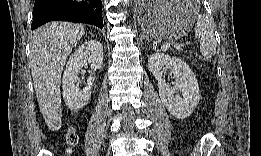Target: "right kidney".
Listing matches in <instances>:
<instances>
[{
    "label": "right kidney",
    "mask_w": 261,
    "mask_h": 156,
    "mask_svg": "<svg viewBox=\"0 0 261 156\" xmlns=\"http://www.w3.org/2000/svg\"><path fill=\"white\" fill-rule=\"evenodd\" d=\"M90 63L94 69L103 65V46L99 41L88 40L84 42L69 58L62 79L63 99L68 108L78 111L83 108L91 98V88L95 76L87 79V86L80 90L76 85L80 69Z\"/></svg>",
    "instance_id": "obj_1"
}]
</instances>
